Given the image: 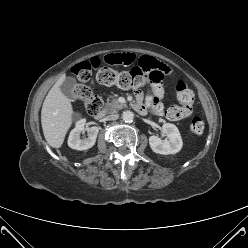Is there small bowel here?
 Masks as SVG:
<instances>
[{"label":"small bowel","mask_w":248,"mask_h":248,"mask_svg":"<svg viewBox=\"0 0 248 248\" xmlns=\"http://www.w3.org/2000/svg\"><path fill=\"white\" fill-rule=\"evenodd\" d=\"M103 61L112 65H130L136 61V57L133 53L122 52L109 54L103 58ZM138 65L143 70L155 71L154 75L156 78L164 76L169 72V68L165 64L150 56L142 57L138 61ZM137 98L140 101L137 104L141 105L144 110L148 109L157 114L162 113V109H157L155 107V103H160L163 98V90L161 87L157 86L153 94H146L144 104L141 103L143 100V94L141 92H137Z\"/></svg>","instance_id":"obj_1"}]
</instances>
